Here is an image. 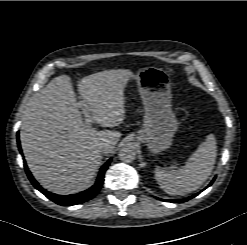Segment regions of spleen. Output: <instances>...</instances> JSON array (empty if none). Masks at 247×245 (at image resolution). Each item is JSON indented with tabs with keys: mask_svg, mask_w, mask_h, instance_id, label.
I'll list each match as a JSON object with an SVG mask.
<instances>
[{
	"mask_svg": "<svg viewBox=\"0 0 247 245\" xmlns=\"http://www.w3.org/2000/svg\"><path fill=\"white\" fill-rule=\"evenodd\" d=\"M217 156L213 134L207 136L198 149L178 170L155 169V179L160 188L170 195H185L197 190L211 175Z\"/></svg>",
	"mask_w": 247,
	"mask_h": 245,
	"instance_id": "3e777b00",
	"label": "spleen"
}]
</instances>
